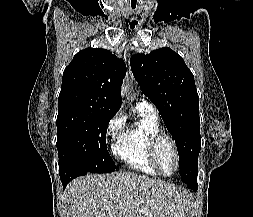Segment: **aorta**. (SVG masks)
I'll list each match as a JSON object with an SVG mask.
<instances>
[{
  "label": "aorta",
  "mask_w": 253,
  "mask_h": 217,
  "mask_svg": "<svg viewBox=\"0 0 253 217\" xmlns=\"http://www.w3.org/2000/svg\"><path fill=\"white\" fill-rule=\"evenodd\" d=\"M128 90H129V85H128V83L124 82L122 85V89H121V93H122L123 97L127 94Z\"/></svg>",
  "instance_id": "1"
}]
</instances>
